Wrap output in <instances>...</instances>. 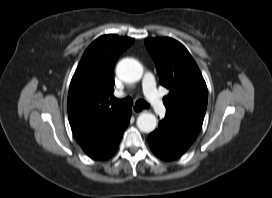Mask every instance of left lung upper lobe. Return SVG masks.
<instances>
[{"mask_svg": "<svg viewBox=\"0 0 272 198\" xmlns=\"http://www.w3.org/2000/svg\"><path fill=\"white\" fill-rule=\"evenodd\" d=\"M161 85L169 89L163 98L166 113L203 123L208 91L202 74L188 50L172 38H148Z\"/></svg>", "mask_w": 272, "mask_h": 198, "instance_id": "1", "label": "left lung upper lobe"}]
</instances>
